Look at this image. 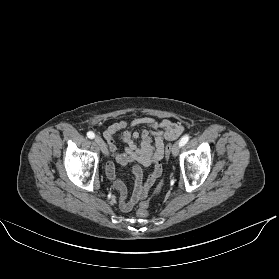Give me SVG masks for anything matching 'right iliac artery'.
I'll use <instances>...</instances> for the list:
<instances>
[{
  "label": "right iliac artery",
  "mask_w": 279,
  "mask_h": 279,
  "mask_svg": "<svg viewBox=\"0 0 279 279\" xmlns=\"http://www.w3.org/2000/svg\"><path fill=\"white\" fill-rule=\"evenodd\" d=\"M87 137L93 139L95 137V134L92 131H89L87 132Z\"/></svg>",
  "instance_id": "obj_1"
}]
</instances>
